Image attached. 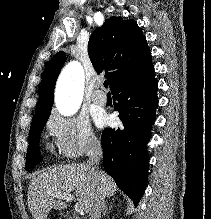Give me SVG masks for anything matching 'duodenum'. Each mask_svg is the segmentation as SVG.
<instances>
[{"label":"duodenum","mask_w":211,"mask_h":219,"mask_svg":"<svg viewBox=\"0 0 211 219\" xmlns=\"http://www.w3.org/2000/svg\"><path fill=\"white\" fill-rule=\"evenodd\" d=\"M64 219H78L74 214L71 213H65Z\"/></svg>","instance_id":"410a0bca"}]
</instances>
